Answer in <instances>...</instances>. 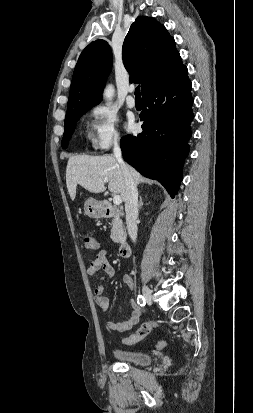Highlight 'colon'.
I'll return each instance as SVG.
<instances>
[{
    "label": "colon",
    "instance_id": "obj_1",
    "mask_svg": "<svg viewBox=\"0 0 253 413\" xmlns=\"http://www.w3.org/2000/svg\"><path fill=\"white\" fill-rule=\"evenodd\" d=\"M82 244H83V247L88 250L98 249V243L96 242V240L87 234L83 235ZM156 327H158V324L154 321L144 322L134 334L124 339V343L125 344L137 343L143 338H145L150 333V331ZM162 346H164L163 342H159L157 345V347H162Z\"/></svg>",
    "mask_w": 253,
    "mask_h": 413
}]
</instances>
